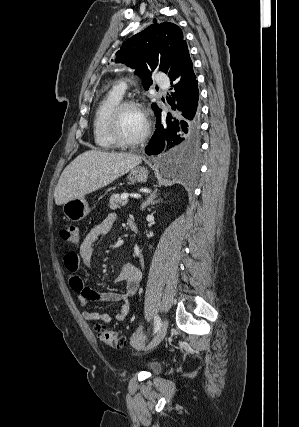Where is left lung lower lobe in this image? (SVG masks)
<instances>
[{"label":"left lung lower lobe","mask_w":299,"mask_h":427,"mask_svg":"<svg viewBox=\"0 0 299 427\" xmlns=\"http://www.w3.org/2000/svg\"><path fill=\"white\" fill-rule=\"evenodd\" d=\"M168 76L173 83L167 102L178 113H170L161 121V109H153L157 117V130L145 149L148 155L161 154L168 162H190L200 148V112L198 108V81L193 71L186 41H183L169 68Z\"/></svg>","instance_id":"0a47b994"}]
</instances>
